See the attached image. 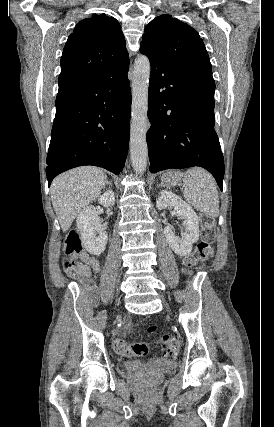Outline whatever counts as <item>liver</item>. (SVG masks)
I'll return each mask as SVG.
<instances>
[{
    "mask_svg": "<svg viewBox=\"0 0 274 427\" xmlns=\"http://www.w3.org/2000/svg\"><path fill=\"white\" fill-rule=\"evenodd\" d=\"M105 184L107 178L103 170L94 166L74 168L53 180L50 188L52 206L63 231L69 229L80 210L100 196Z\"/></svg>",
    "mask_w": 274,
    "mask_h": 427,
    "instance_id": "liver-1",
    "label": "liver"
}]
</instances>
